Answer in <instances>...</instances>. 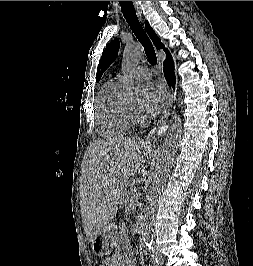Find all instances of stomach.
<instances>
[{"instance_id":"obj_1","label":"stomach","mask_w":253,"mask_h":266,"mask_svg":"<svg viewBox=\"0 0 253 266\" xmlns=\"http://www.w3.org/2000/svg\"><path fill=\"white\" fill-rule=\"evenodd\" d=\"M119 237L118 228L109 223L91 244L93 252L99 256H107L114 250Z\"/></svg>"}]
</instances>
